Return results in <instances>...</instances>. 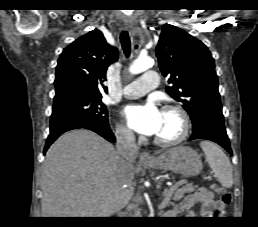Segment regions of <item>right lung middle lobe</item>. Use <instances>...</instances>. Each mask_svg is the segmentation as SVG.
I'll return each instance as SVG.
<instances>
[{"instance_id":"obj_1","label":"right lung middle lobe","mask_w":258,"mask_h":227,"mask_svg":"<svg viewBox=\"0 0 258 227\" xmlns=\"http://www.w3.org/2000/svg\"><path fill=\"white\" fill-rule=\"evenodd\" d=\"M71 115L100 126L108 125V113L102 95L68 91L54 97L52 116Z\"/></svg>"}]
</instances>
